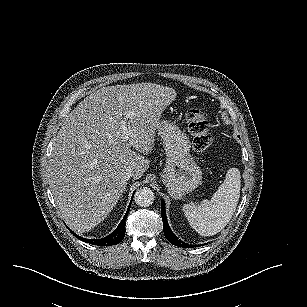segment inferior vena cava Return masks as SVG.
<instances>
[{
  "mask_svg": "<svg viewBox=\"0 0 307 307\" xmlns=\"http://www.w3.org/2000/svg\"><path fill=\"white\" fill-rule=\"evenodd\" d=\"M131 177H133V174H132V173H127V174L124 176V180L127 181V180H129Z\"/></svg>",
  "mask_w": 307,
  "mask_h": 307,
  "instance_id": "1",
  "label": "inferior vena cava"
}]
</instances>
